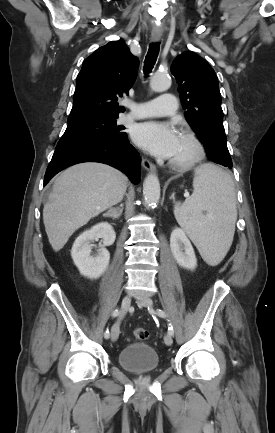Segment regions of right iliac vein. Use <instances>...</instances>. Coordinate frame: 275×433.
Wrapping results in <instances>:
<instances>
[{
  "label": "right iliac vein",
  "instance_id": "1",
  "mask_svg": "<svg viewBox=\"0 0 275 433\" xmlns=\"http://www.w3.org/2000/svg\"><path fill=\"white\" fill-rule=\"evenodd\" d=\"M130 304H131V297L127 295V296H125L123 298L122 303H121V313H120V316H119V320H118L117 323H115L113 325V327L111 329V339H112V341H116L118 339V337H119V332H120L119 322L123 318V316L126 314V312L128 311V309L130 307Z\"/></svg>",
  "mask_w": 275,
  "mask_h": 433
}]
</instances>
